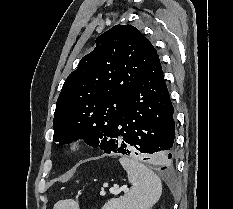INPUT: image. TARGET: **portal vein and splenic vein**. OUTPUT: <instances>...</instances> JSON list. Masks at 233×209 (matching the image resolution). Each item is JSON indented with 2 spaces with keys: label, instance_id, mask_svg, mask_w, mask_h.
Here are the masks:
<instances>
[{
  "label": "portal vein and splenic vein",
  "instance_id": "portal-vein-and-splenic-vein-1",
  "mask_svg": "<svg viewBox=\"0 0 233 209\" xmlns=\"http://www.w3.org/2000/svg\"><path fill=\"white\" fill-rule=\"evenodd\" d=\"M121 190H123L124 192H127L128 188L125 187L123 189H119L118 187H113L109 189V192L111 194L118 195L121 192ZM101 195H105V192H101Z\"/></svg>",
  "mask_w": 233,
  "mask_h": 209
}]
</instances>
